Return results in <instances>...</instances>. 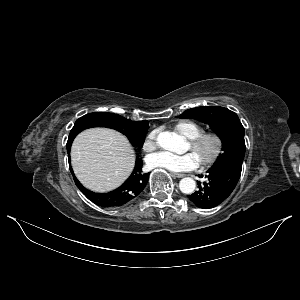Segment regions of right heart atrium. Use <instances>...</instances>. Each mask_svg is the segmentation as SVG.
<instances>
[{
	"label": "right heart atrium",
	"instance_id": "1",
	"mask_svg": "<svg viewBox=\"0 0 300 300\" xmlns=\"http://www.w3.org/2000/svg\"><path fill=\"white\" fill-rule=\"evenodd\" d=\"M143 150L145 152H152L156 149L157 147V130H152L149 132L144 141H143Z\"/></svg>",
	"mask_w": 300,
	"mask_h": 300
}]
</instances>
